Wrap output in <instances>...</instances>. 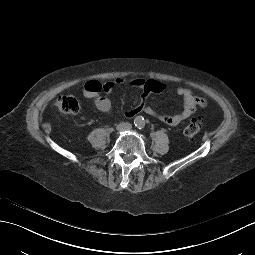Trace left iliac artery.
Wrapping results in <instances>:
<instances>
[{"label":"left iliac artery","mask_w":255,"mask_h":255,"mask_svg":"<svg viewBox=\"0 0 255 255\" xmlns=\"http://www.w3.org/2000/svg\"><path fill=\"white\" fill-rule=\"evenodd\" d=\"M144 128V125H141L139 129H143Z\"/></svg>","instance_id":"left-iliac-artery-1"}]
</instances>
